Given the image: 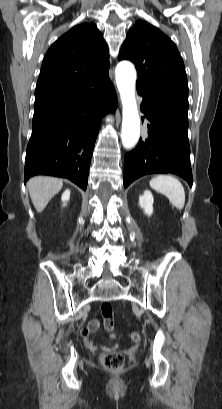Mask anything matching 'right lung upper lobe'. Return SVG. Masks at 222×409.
<instances>
[{
  "mask_svg": "<svg viewBox=\"0 0 222 409\" xmlns=\"http://www.w3.org/2000/svg\"><path fill=\"white\" fill-rule=\"evenodd\" d=\"M108 47L94 23H82L47 51L35 90V107L83 94L91 81L108 75Z\"/></svg>",
  "mask_w": 222,
  "mask_h": 409,
  "instance_id": "1",
  "label": "right lung upper lobe"
}]
</instances>
